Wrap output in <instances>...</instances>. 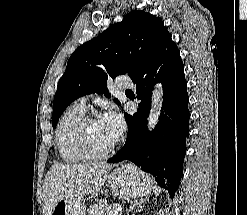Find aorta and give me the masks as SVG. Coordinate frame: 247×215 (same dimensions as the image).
<instances>
[{
  "instance_id": "aorta-1",
  "label": "aorta",
  "mask_w": 247,
  "mask_h": 215,
  "mask_svg": "<svg viewBox=\"0 0 247 215\" xmlns=\"http://www.w3.org/2000/svg\"><path fill=\"white\" fill-rule=\"evenodd\" d=\"M163 90L161 85H156L153 94H152V106L148 116V128L152 130L155 128L156 124L160 118V111H161V103L163 101L162 98Z\"/></svg>"
}]
</instances>
